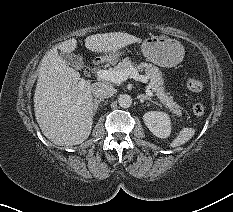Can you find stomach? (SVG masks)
Masks as SVG:
<instances>
[{
    "label": "stomach",
    "mask_w": 233,
    "mask_h": 212,
    "mask_svg": "<svg viewBox=\"0 0 233 212\" xmlns=\"http://www.w3.org/2000/svg\"><path fill=\"white\" fill-rule=\"evenodd\" d=\"M147 60L162 67H173L184 57V48L176 40L163 37H150L144 40L141 47Z\"/></svg>",
    "instance_id": "0dacf381"
}]
</instances>
